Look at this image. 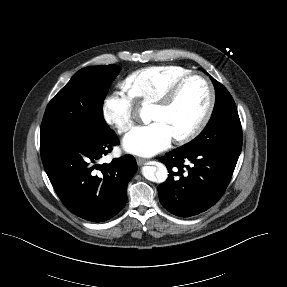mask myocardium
<instances>
[{"label": "myocardium", "instance_id": "f54148a6", "mask_svg": "<svg viewBox=\"0 0 287 287\" xmlns=\"http://www.w3.org/2000/svg\"><path fill=\"white\" fill-rule=\"evenodd\" d=\"M193 78H200L205 82L209 92V101L206 110L199 122L187 133L174 137V140L177 143H187L193 140L204 130V128L209 123L216 104V91L213 83L206 75L202 73L190 72L178 79L161 98L154 102V105L160 108L170 107L176 100L183 86Z\"/></svg>", "mask_w": 287, "mask_h": 287}]
</instances>
